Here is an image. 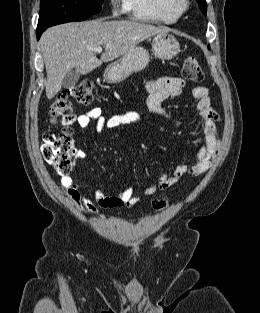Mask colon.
Masks as SVG:
<instances>
[{
    "label": "colon",
    "mask_w": 260,
    "mask_h": 313,
    "mask_svg": "<svg viewBox=\"0 0 260 313\" xmlns=\"http://www.w3.org/2000/svg\"><path fill=\"white\" fill-rule=\"evenodd\" d=\"M182 74L186 80L198 82L204 78V72L194 57L183 60ZM95 94L94 84L91 80H84L75 86L57 94L49 108V115L53 124H59L61 130L55 132L48 130L43 134L42 152L44 159L60 176H66L72 169L76 156V148L72 140L71 125L74 121L73 105L71 99L80 104H89ZM165 200L154 204L156 210L165 208Z\"/></svg>",
    "instance_id": "colon-1"
}]
</instances>
